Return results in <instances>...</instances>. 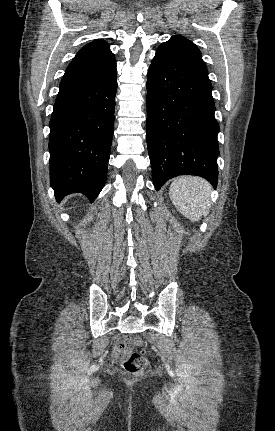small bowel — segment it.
<instances>
[{"label":"small bowel","mask_w":275,"mask_h":431,"mask_svg":"<svg viewBox=\"0 0 275 431\" xmlns=\"http://www.w3.org/2000/svg\"><path fill=\"white\" fill-rule=\"evenodd\" d=\"M129 351L130 347L125 344V340L116 342L112 350L113 361L119 363Z\"/></svg>","instance_id":"c3829d8e"}]
</instances>
